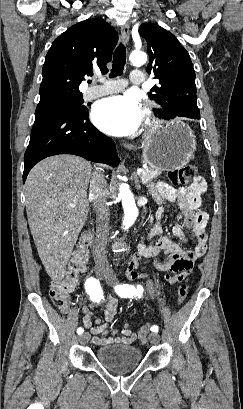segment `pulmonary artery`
<instances>
[{
  "mask_svg": "<svg viewBox=\"0 0 243 409\" xmlns=\"http://www.w3.org/2000/svg\"><path fill=\"white\" fill-rule=\"evenodd\" d=\"M130 80L135 85H141L144 82V74L141 70H133L130 74ZM101 85L88 88L84 93L85 100H93L98 97L119 92L124 89L127 82L124 80L107 81L102 78L98 79Z\"/></svg>",
  "mask_w": 243,
  "mask_h": 409,
  "instance_id": "1",
  "label": "pulmonary artery"
}]
</instances>
